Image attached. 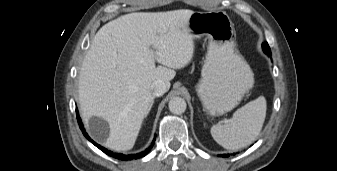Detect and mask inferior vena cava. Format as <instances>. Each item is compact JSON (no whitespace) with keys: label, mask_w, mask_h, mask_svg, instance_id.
Here are the masks:
<instances>
[{"label":"inferior vena cava","mask_w":337,"mask_h":171,"mask_svg":"<svg viewBox=\"0 0 337 171\" xmlns=\"http://www.w3.org/2000/svg\"><path fill=\"white\" fill-rule=\"evenodd\" d=\"M167 88V84L161 80H157L151 85L152 94L156 97L162 96L167 91Z\"/></svg>","instance_id":"1"}]
</instances>
